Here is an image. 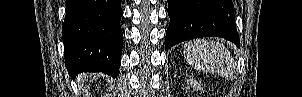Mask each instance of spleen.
<instances>
[{
  "mask_svg": "<svg viewBox=\"0 0 302 97\" xmlns=\"http://www.w3.org/2000/svg\"><path fill=\"white\" fill-rule=\"evenodd\" d=\"M183 54L195 70L215 73L225 79H233L234 59L221 43L208 39H195L184 44Z\"/></svg>",
  "mask_w": 302,
  "mask_h": 97,
  "instance_id": "3e777b00",
  "label": "spleen"
}]
</instances>
